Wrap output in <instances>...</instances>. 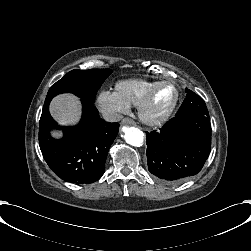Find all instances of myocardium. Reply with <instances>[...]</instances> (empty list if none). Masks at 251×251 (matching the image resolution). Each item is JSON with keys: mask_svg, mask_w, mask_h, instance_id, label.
<instances>
[{"mask_svg": "<svg viewBox=\"0 0 251 251\" xmlns=\"http://www.w3.org/2000/svg\"><path fill=\"white\" fill-rule=\"evenodd\" d=\"M166 82H172L176 85V87L178 89L177 102L169 111L162 114L161 116H159L157 118L151 117L148 114V107L150 105V102H151L156 90L159 88V86L162 85L163 83H166ZM183 98H184L183 87L181 85H179L175 80L164 77L162 79H159L158 81H156L154 84H152L149 87V89L145 93L144 97L142 98V100L140 101V103L137 106L138 116H139L140 120L143 123H145L146 125H149V126L161 125V124L165 123L166 121H168L176 113V111L179 109V107L182 104Z\"/></svg>", "mask_w": 251, "mask_h": 251, "instance_id": "f54148a6", "label": "myocardium"}]
</instances>
